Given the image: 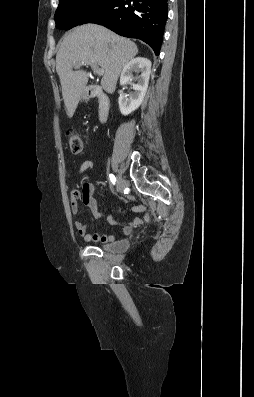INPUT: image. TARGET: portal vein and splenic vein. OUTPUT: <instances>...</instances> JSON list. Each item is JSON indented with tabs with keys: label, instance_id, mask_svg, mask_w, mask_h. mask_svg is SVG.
Masks as SVG:
<instances>
[{
	"label": "portal vein and splenic vein",
	"instance_id": "1",
	"mask_svg": "<svg viewBox=\"0 0 254 397\" xmlns=\"http://www.w3.org/2000/svg\"><path fill=\"white\" fill-rule=\"evenodd\" d=\"M91 66H92L94 72H95L97 75H103V74H104V70L101 69V68H99L97 65H91ZM79 67H80L79 65L75 66L76 69L79 68Z\"/></svg>",
	"mask_w": 254,
	"mask_h": 397
}]
</instances>
